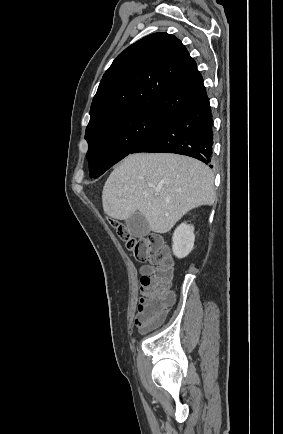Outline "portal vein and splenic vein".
Instances as JSON below:
<instances>
[{
	"label": "portal vein and splenic vein",
	"instance_id": "1",
	"mask_svg": "<svg viewBox=\"0 0 283 434\" xmlns=\"http://www.w3.org/2000/svg\"><path fill=\"white\" fill-rule=\"evenodd\" d=\"M158 194H159V191L157 190V191H156V195H158Z\"/></svg>",
	"mask_w": 283,
	"mask_h": 434
}]
</instances>
